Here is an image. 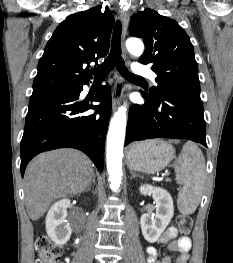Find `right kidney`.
Returning <instances> with one entry per match:
<instances>
[{"label":"right kidney","mask_w":233,"mask_h":263,"mask_svg":"<svg viewBox=\"0 0 233 263\" xmlns=\"http://www.w3.org/2000/svg\"><path fill=\"white\" fill-rule=\"evenodd\" d=\"M69 199L55 202L46 216V231L52 241L57 245L65 244L72 234L69 224L66 223Z\"/></svg>","instance_id":"right-kidney-1"}]
</instances>
